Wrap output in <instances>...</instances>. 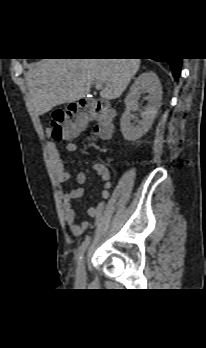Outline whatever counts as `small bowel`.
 Listing matches in <instances>:
<instances>
[{"label":"small bowel","instance_id":"c3829d8e","mask_svg":"<svg viewBox=\"0 0 206 348\" xmlns=\"http://www.w3.org/2000/svg\"><path fill=\"white\" fill-rule=\"evenodd\" d=\"M66 149L67 151L74 153L78 150V146L74 143H69L66 146ZM49 157L53 166L56 181L59 184L67 182L70 178V172L66 168L58 147L54 144L49 146ZM93 169L103 182L100 192L102 201L97 206H90L87 209L88 218H98L101 215L105 207V201L109 198V189L111 187V177L108 167L101 162H95L93 164ZM76 180L78 184L83 185L87 180V176L85 173L80 172L77 174ZM83 194V187H78L62 194L64 218L74 236H80L89 227V221L87 219H82L78 223L75 221V211L72 206L73 200L80 198Z\"/></svg>","mask_w":206,"mask_h":348}]
</instances>
